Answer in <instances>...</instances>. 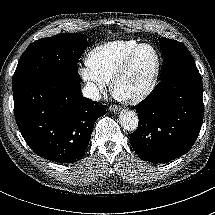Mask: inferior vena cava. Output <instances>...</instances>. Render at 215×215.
Segmentation results:
<instances>
[{
  "label": "inferior vena cava",
  "mask_w": 215,
  "mask_h": 215,
  "mask_svg": "<svg viewBox=\"0 0 215 215\" xmlns=\"http://www.w3.org/2000/svg\"><path fill=\"white\" fill-rule=\"evenodd\" d=\"M82 94L85 98L93 101H100L102 96L97 88L96 84L93 82H88L82 90Z\"/></svg>",
  "instance_id": "1"
}]
</instances>
